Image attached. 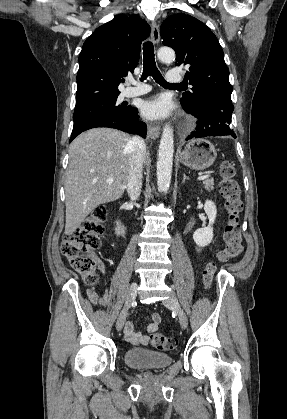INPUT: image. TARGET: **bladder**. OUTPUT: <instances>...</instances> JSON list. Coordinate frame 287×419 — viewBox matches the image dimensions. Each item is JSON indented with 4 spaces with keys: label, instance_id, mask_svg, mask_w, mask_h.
<instances>
[{
    "label": "bladder",
    "instance_id": "1",
    "mask_svg": "<svg viewBox=\"0 0 287 419\" xmlns=\"http://www.w3.org/2000/svg\"><path fill=\"white\" fill-rule=\"evenodd\" d=\"M123 360L134 369L159 370L168 366L172 362V357L147 348L135 347L124 351Z\"/></svg>",
    "mask_w": 287,
    "mask_h": 419
}]
</instances>
